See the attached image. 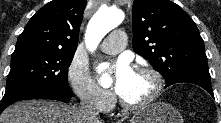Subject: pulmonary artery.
Returning a JSON list of instances; mask_svg holds the SVG:
<instances>
[{
	"label": "pulmonary artery",
	"mask_w": 221,
	"mask_h": 123,
	"mask_svg": "<svg viewBox=\"0 0 221 123\" xmlns=\"http://www.w3.org/2000/svg\"><path fill=\"white\" fill-rule=\"evenodd\" d=\"M126 46V34L122 30L111 32L101 43L100 48L108 54H117Z\"/></svg>",
	"instance_id": "1"
}]
</instances>
